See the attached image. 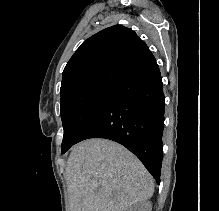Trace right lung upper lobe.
Instances as JSON below:
<instances>
[{
  "label": "right lung upper lobe",
  "instance_id": "1",
  "mask_svg": "<svg viewBox=\"0 0 219 211\" xmlns=\"http://www.w3.org/2000/svg\"><path fill=\"white\" fill-rule=\"evenodd\" d=\"M155 61L134 31L111 26L85 40L67 63L61 100L97 84L117 85L138 69Z\"/></svg>",
  "mask_w": 219,
  "mask_h": 211
}]
</instances>
